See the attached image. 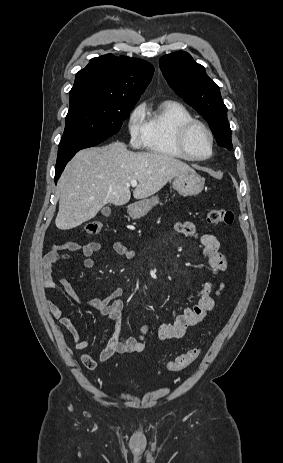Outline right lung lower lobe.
I'll list each match as a JSON object with an SVG mask.
<instances>
[{"instance_id": "obj_1", "label": "right lung lower lobe", "mask_w": 283, "mask_h": 463, "mask_svg": "<svg viewBox=\"0 0 283 463\" xmlns=\"http://www.w3.org/2000/svg\"><path fill=\"white\" fill-rule=\"evenodd\" d=\"M101 142L102 141L85 142V143H80V144L72 145V146L65 147V148H60L58 150L57 163L55 167V183H57V180L59 179L66 164L73 158V156L79 150L96 146L97 144Z\"/></svg>"}]
</instances>
